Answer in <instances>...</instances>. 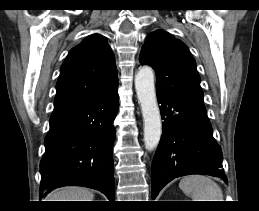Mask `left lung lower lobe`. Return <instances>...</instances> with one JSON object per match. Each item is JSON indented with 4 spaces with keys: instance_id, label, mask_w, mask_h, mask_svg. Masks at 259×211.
<instances>
[{
    "instance_id": "left-lung-lower-lobe-1",
    "label": "left lung lower lobe",
    "mask_w": 259,
    "mask_h": 211,
    "mask_svg": "<svg viewBox=\"0 0 259 211\" xmlns=\"http://www.w3.org/2000/svg\"><path fill=\"white\" fill-rule=\"evenodd\" d=\"M164 120L162 136L152 162V198L172 179L203 173L227 178L221 147L213 138L203 102L156 91Z\"/></svg>"
}]
</instances>
